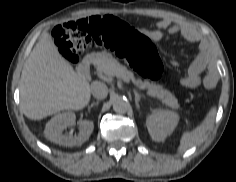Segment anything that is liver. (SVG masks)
Instances as JSON below:
<instances>
[{"label": "liver", "instance_id": "liver-1", "mask_svg": "<svg viewBox=\"0 0 236 182\" xmlns=\"http://www.w3.org/2000/svg\"><path fill=\"white\" fill-rule=\"evenodd\" d=\"M91 85L62 57L52 36L44 32L21 74L20 107L26 117L40 120L63 110H81L90 101Z\"/></svg>", "mask_w": 236, "mask_h": 182}]
</instances>
